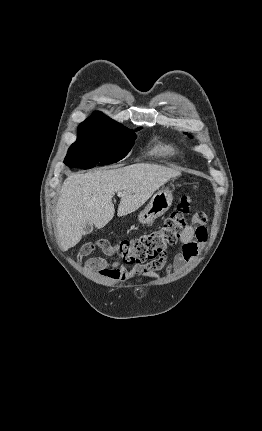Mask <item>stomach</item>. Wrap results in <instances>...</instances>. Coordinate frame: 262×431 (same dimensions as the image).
Segmentation results:
<instances>
[{
    "instance_id": "obj_1",
    "label": "stomach",
    "mask_w": 262,
    "mask_h": 431,
    "mask_svg": "<svg viewBox=\"0 0 262 431\" xmlns=\"http://www.w3.org/2000/svg\"><path fill=\"white\" fill-rule=\"evenodd\" d=\"M172 190L164 188L153 195L147 206L138 215L141 224H151L155 219L162 216L172 205Z\"/></svg>"
}]
</instances>
